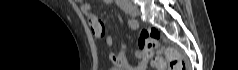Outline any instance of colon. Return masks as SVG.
<instances>
[{
    "label": "colon",
    "mask_w": 238,
    "mask_h": 70,
    "mask_svg": "<svg viewBox=\"0 0 238 70\" xmlns=\"http://www.w3.org/2000/svg\"><path fill=\"white\" fill-rule=\"evenodd\" d=\"M141 38L147 54L152 55L156 52V56L152 61L153 67L158 70H164L166 68V62H168L170 70H187L186 64L177 50L172 47H158L157 40L159 38V32L157 30H143Z\"/></svg>",
    "instance_id": "obj_1"
}]
</instances>
